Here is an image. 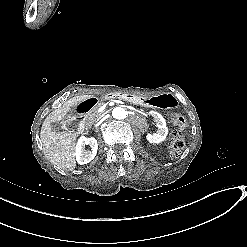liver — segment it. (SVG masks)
I'll return each mask as SVG.
<instances>
[{"mask_svg":"<svg viewBox=\"0 0 247 247\" xmlns=\"http://www.w3.org/2000/svg\"><path fill=\"white\" fill-rule=\"evenodd\" d=\"M91 95L75 96L65 101L61 106L52 111L44 120L40 139L43 145V153L54 168L64 174L76 168L75 150L77 134L75 132H56L52 123L60 122L75 107Z\"/></svg>","mask_w":247,"mask_h":247,"instance_id":"obj_1","label":"liver"}]
</instances>
